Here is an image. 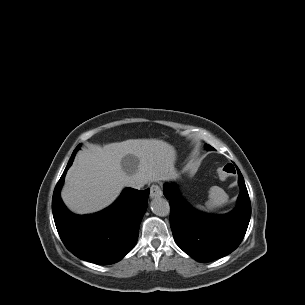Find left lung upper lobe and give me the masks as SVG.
Instances as JSON below:
<instances>
[{"instance_id": "obj_1", "label": "left lung upper lobe", "mask_w": 305, "mask_h": 305, "mask_svg": "<svg viewBox=\"0 0 305 305\" xmlns=\"http://www.w3.org/2000/svg\"><path fill=\"white\" fill-rule=\"evenodd\" d=\"M206 148H207L208 150H212V147L209 146V145H206Z\"/></svg>"}]
</instances>
